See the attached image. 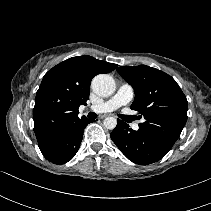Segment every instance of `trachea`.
I'll return each mask as SVG.
<instances>
[{"instance_id":"trachea-1","label":"trachea","mask_w":211,"mask_h":211,"mask_svg":"<svg viewBox=\"0 0 211 211\" xmlns=\"http://www.w3.org/2000/svg\"><path fill=\"white\" fill-rule=\"evenodd\" d=\"M96 117H97V114H95L94 112L88 113V118L95 119Z\"/></svg>"}]
</instances>
